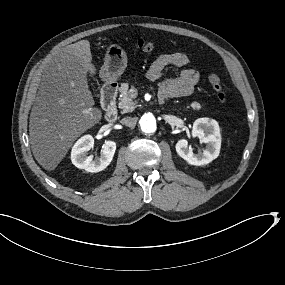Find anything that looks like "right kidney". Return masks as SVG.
I'll use <instances>...</instances> for the list:
<instances>
[{
  "mask_svg": "<svg viewBox=\"0 0 285 285\" xmlns=\"http://www.w3.org/2000/svg\"><path fill=\"white\" fill-rule=\"evenodd\" d=\"M93 146L94 139L91 135L83 136L76 142L71 153V160L75 167L84 169L90 173L100 172L107 168L115 154L116 142L105 140L98 159H93L92 156H87V153L93 148Z\"/></svg>",
  "mask_w": 285,
  "mask_h": 285,
  "instance_id": "right-kidney-1",
  "label": "right kidney"
}]
</instances>
